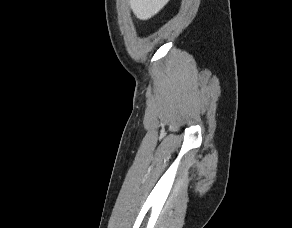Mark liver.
<instances>
[{
  "label": "liver",
  "instance_id": "liver-1",
  "mask_svg": "<svg viewBox=\"0 0 292 228\" xmlns=\"http://www.w3.org/2000/svg\"><path fill=\"white\" fill-rule=\"evenodd\" d=\"M169 0H129L134 15L140 20H148L156 15Z\"/></svg>",
  "mask_w": 292,
  "mask_h": 228
}]
</instances>
